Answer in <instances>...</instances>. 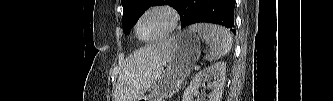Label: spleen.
I'll return each instance as SVG.
<instances>
[{
  "label": "spleen",
  "mask_w": 333,
  "mask_h": 101,
  "mask_svg": "<svg viewBox=\"0 0 333 101\" xmlns=\"http://www.w3.org/2000/svg\"><path fill=\"white\" fill-rule=\"evenodd\" d=\"M190 31L198 33L199 37L209 46L207 61H216L229 53L232 48V35L228 29L218 25L198 23L189 27Z\"/></svg>",
  "instance_id": "obj_1"
}]
</instances>
